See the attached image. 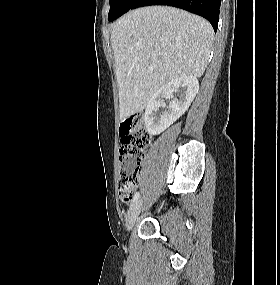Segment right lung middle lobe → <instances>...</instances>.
<instances>
[{
  "mask_svg": "<svg viewBox=\"0 0 280 285\" xmlns=\"http://www.w3.org/2000/svg\"><path fill=\"white\" fill-rule=\"evenodd\" d=\"M137 0H110L108 20L113 21L128 10L132 9Z\"/></svg>",
  "mask_w": 280,
  "mask_h": 285,
  "instance_id": "right-lung-middle-lobe-1",
  "label": "right lung middle lobe"
}]
</instances>
